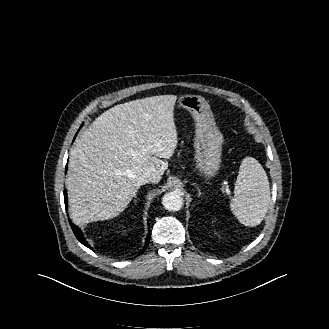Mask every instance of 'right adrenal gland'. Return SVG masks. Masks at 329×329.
<instances>
[{
	"label": "right adrenal gland",
	"mask_w": 329,
	"mask_h": 329,
	"mask_svg": "<svg viewBox=\"0 0 329 329\" xmlns=\"http://www.w3.org/2000/svg\"><path fill=\"white\" fill-rule=\"evenodd\" d=\"M136 202H137V196L135 195L134 203H136Z\"/></svg>",
	"instance_id": "1"
}]
</instances>
